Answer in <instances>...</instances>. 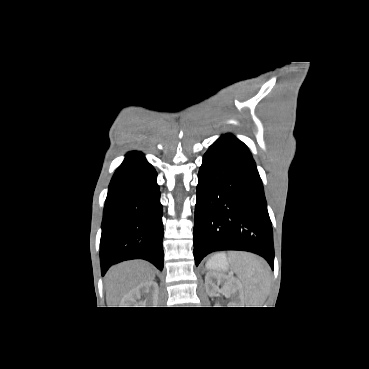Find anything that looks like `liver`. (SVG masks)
<instances>
[{"mask_svg":"<svg viewBox=\"0 0 369 369\" xmlns=\"http://www.w3.org/2000/svg\"><path fill=\"white\" fill-rule=\"evenodd\" d=\"M154 278L152 266L141 260L127 261L111 267L104 280L108 307H117L115 305H118L130 290Z\"/></svg>","mask_w":369,"mask_h":369,"instance_id":"liver-1","label":"liver"}]
</instances>
